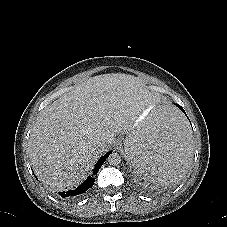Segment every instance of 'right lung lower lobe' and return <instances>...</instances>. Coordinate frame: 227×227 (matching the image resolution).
<instances>
[{
  "instance_id": "98d812e1",
  "label": "right lung lower lobe",
  "mask_w": 227,
  "mask_h": 227,
  "mask_svg": "<svg viewBox=\"0 0 227 227\" xmlns=\"http://www.w3.org/2000/svg\"><path fill=\"white\" fill-rule=\"evenodd\" d=\"M112 151H109L106 155L102 156L98 162L95 165V168L93 170V175H90L86 181L81 184L79 187H77L74 190H69L66 192H59V195L67 200H72V199H76L79 198L81 196H83L87 190L89 188H91L94 184V175L97 174L98 170L101 168V166L103 165V163L105 162L106 158L110 155Z\"/></svg>"
}]
</instances>
